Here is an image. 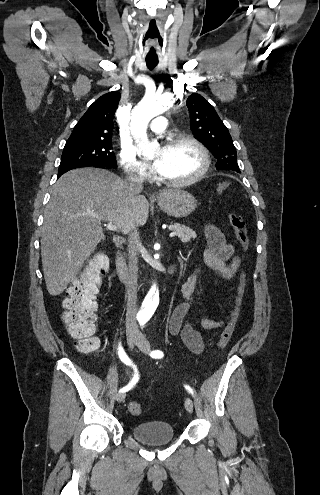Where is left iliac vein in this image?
<instances>
[{"instance_id":"obj_1","label":"left iliac vein","mask_w":320,"mask_h":495,"mask_svg":"<svg viewBox=\"0 0 320 495\" xmlns=\"http://www.w3.org/2000/svg\"><path fill=\"white\" fill-rule=\"evenodd\" d=\"M136 345L143 353H146V354L149 353L150 344L143 334H141V333L137 334ZM185 408L189 413L193 412V401L190 397H187L185 399Z\"/></svg>"}]
</instances>
